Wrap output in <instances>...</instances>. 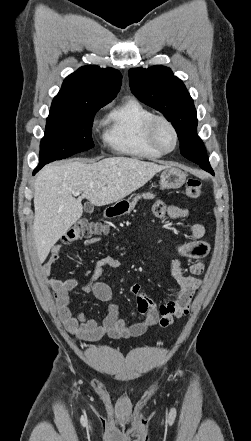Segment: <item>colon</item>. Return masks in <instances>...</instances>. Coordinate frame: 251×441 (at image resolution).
Listing matches in <instances>:
<instances>
[{"label": "colon", "mask_w": 251, "mask_h": 441, "mask_svg": "<svg viewBox=\"0 0 251 441\" xmlns=\"http://www.w3.org/2000/svg\"><path fill=\"white\" fill-rule=\"evenodd\" d=\"M202 186L200 180L190 178L187 181L185 188V195L189 199H196L201 195ZM106 231V227L98 222L82 219L70 227L63 236V242L69 244L71 242L90 238L95 234H100Z\"/></svg>", "instance_id": "1"}]
</instances>
